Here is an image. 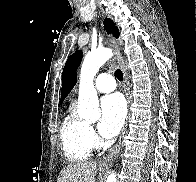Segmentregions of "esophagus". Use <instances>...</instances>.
I'll list each match as a JSON object with an SVG mask.
<instances>
[{
	"mask_svg": "<svg viewBox=\"0 0 196 182\" xmlns=\"http://www.w3.org/2000/svg\"><path fill=\"white\" fill-rule=\"evenodd\" d=\"M107 41L110 44V46L114 49L115 54H116L117 62H118L119 66H120V68H121V70L123 72L124 90H125V93H126L128 107H129L130 106L129 83H128V76H127L126 68H125L123 60L121 58L119 48L116 45V43L113 40V38L107 36ZM127 122H128V117H127L126 122L124 124V127H123V130H122V133H121L119 141L115 144V146H113V148L110 150V152L107 154V156H105L101 160V162H100L101 166H104V165L106 166V165L111 164L112 161L114 160V158L117 156V154L119 152V149H120V145H121V139H122V137H123V135H124V133H125V131L127 129Z\"/></svg>",
	"mask_w": 196,
	"mask_h": 182,
	"instance_id": "esophagus-1",
	"label": "esophagus"
}]
</instances>
